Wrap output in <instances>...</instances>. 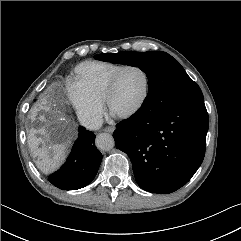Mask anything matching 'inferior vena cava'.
<instances>
[{
	"label": "inferior vena cava",
	"instance_id": "inferior-vena-cava-1",
	"mask_svg": "<svg viewBox=\"0 0 241 241\" xmlns=\"http://www.w3.org/2000/svg\"><path fill=\"white\" fill-rule=\"evenodd\" d=\"M83 124L91 130H97L101 127L102 125V119L101 118H93L90 117L88 119L83 120Z\"/></svg>",
	"mask_w": 241,
	"mask_h": 241
}]
</instances>
